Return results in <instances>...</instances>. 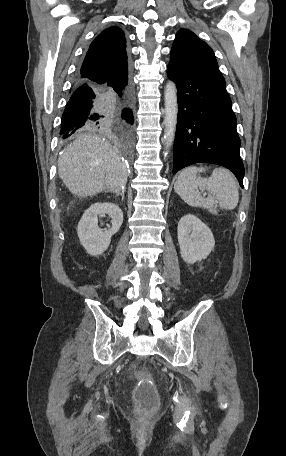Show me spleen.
<instances>
[{"mask_svg":"<svg viewBox=\"0 0 286 456\" xmlns=\"http://www.w3.org/2000/svg\"><path fill=\"white\" fill-rule=\"evenodd\" d=\"M205 170V167L196 166L182 170L174 185L175 192L192 207L211 209L218 205L221 209H234L239 201L238 184L234 175L227 169L215 168L210 177H200L198 174ZM198 188L206 189L208 197H202Z\"/></svg>","mask_w":286,"mask_h":456,"instance_id":"spleen-1","label":"spleen"}]
</instances>
